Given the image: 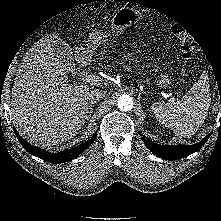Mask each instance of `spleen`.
<instances>
[{
    "instance_id": "obj_1",
    "label": "spleen",
    "mask_w": 221,
    "mask_h": 221,
    "mask_svg": "<svg viewBox=\"0 0 221 221\" xmlns=\"http://www.w3.org/2000/svg\"><path fill=\"white\" fill-rule=\"evenodd\" d=\"M211 103L206 74H202L181 100L157 102L152 109L159 122L171 128L178 137H191L204 123Z\"/></svg>"
}]
</instances>
